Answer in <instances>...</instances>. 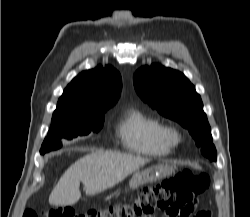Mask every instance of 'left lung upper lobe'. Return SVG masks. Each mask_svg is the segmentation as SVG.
Masks as SVG:
<instances>
[{"label":"left lung upper lobe","mask_w":250,"mask_h":217,"mask_svg":"<svg viewBox=\"0 0 250 217\" xmlns=\"http://www.w3.org/2000/svg\"><path fill=\"white\" fill-rule=\"evenodd\" d=\"M134 87L153 109L187 128L201 153L216 161L217 152L201 97L183 73L159 64L144 66L134 75Z\"/></svg>","instance_id":"obj_1"}]
</instances>
